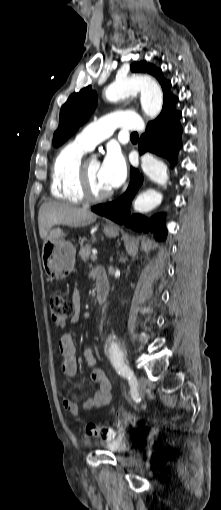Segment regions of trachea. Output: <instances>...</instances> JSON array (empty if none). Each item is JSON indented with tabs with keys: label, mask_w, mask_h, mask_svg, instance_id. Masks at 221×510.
<instances>
[{
	"label": "trachea",
	"mask_w": 221,
	"mask_h": 510,
	"mask_svg": "<svg viewBox=\"0 0 221 510\" xmlns=\"http://www.w3.org/2000/svg\"><path fill=\"white\" fill-rule=\"evenodd\" d=\"M131 136L138 137V134L136 132H133Z\"/></svg>",
	"instance_id": "1"
}]
</instances>
